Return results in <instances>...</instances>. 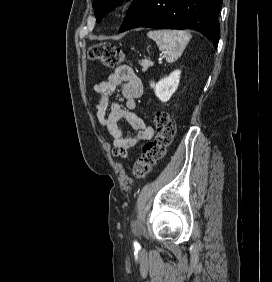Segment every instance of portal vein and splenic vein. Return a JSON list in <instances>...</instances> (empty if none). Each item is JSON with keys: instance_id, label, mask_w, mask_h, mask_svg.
Listing matches in <instances>:
<instances>
[{"instance_id": "1", "label": "portal vein and splenic vein", "mask_w": 272, "mask_h": 282, "mask_svg": "<svg viewBox=\"0 0 272 282\" xmlns=\"http://www.w3.org/2000/svg\"><path fill=\"white\" fill-rule=\"evenodd\" d=\"M164 56H160V58L158 59L159 63L162 62Z\"/></svg>"}]
</instances>
